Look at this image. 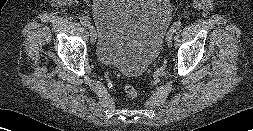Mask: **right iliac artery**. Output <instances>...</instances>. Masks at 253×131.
<instances>
[{
  "instance_id": "obj_1",
  "label": "right iliac artery",
  "mask_w": 253,
  "mask_h": 131,
  "mask_svg": "<svg viewBox=\"0 0 253 131\" xmlns=\"http://www.w3.org/2000/svg\"><path fill=\"white\" fill-rule=\"evenodd\" d=\"M80 22L82 25L88 27L90 25V21L86 17H80Z\"/></svg>"
}]
</instances>
